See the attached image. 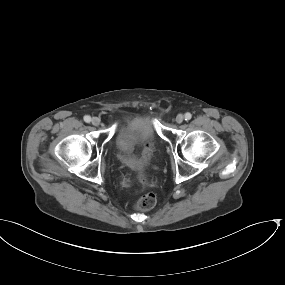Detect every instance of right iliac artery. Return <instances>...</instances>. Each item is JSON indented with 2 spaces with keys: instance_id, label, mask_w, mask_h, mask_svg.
I'll use <instances>...</instances> for the list:
<instances>
[{
  "instance_id": "82829eb1",
  "label": "right iliac artery",
  "mask_w": 285,
  "mask_h": 285,
  "mask_svg": "<svg viewBox=\"0 0 285 285\" xmlns=\"http://www.w3.org/2000/svg\"><path fill=\"white\" fill-rule=\"evenodd\" d=\"M84 121L89 123L91 121V117L89 115L84 116Z\"/></svg>"
}]
</instances>
